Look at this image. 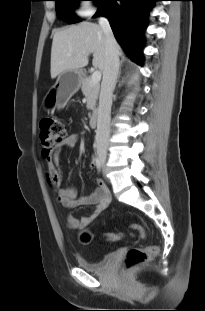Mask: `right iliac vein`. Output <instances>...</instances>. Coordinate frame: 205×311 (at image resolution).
<instances>
[{
  "label": "right iliac vein",
  "mask_w": 205,
  "mask_h": 311,
  "mask_svg": "<svg viewBox=\"0 0 205 311\" xmlns=\"http://www.w3.org/2000/svg\"><path fill=\"white\" fill-rule=\"evenodd\" d=\"M98 156H99L98 158H99L100 162L105 167V162H106L107 156H106V148L104 146L98 147Z\"/></svg>",
  "instance_id": "1"
}]
</instances>
